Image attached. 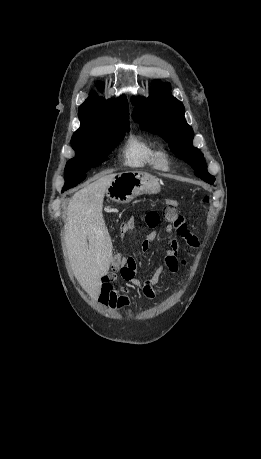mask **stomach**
<instances>
[{
    "label": "stomach",
    "instance_id": "1",
    "mask_svg": "<svg viewBox=\"0 0 261 459\" xmlns=\"http://www.w3.org/2000/svg\"><path fill=\"white\" fill-rule=\"evenodd\" d=\"M157 178L141 171H126L116 174L106 190L107 196L116 203H129L137 196L159 192Z\"/></svg>",
    "mask_w": 261,
    "mask_h": 459
}]
</instances>
